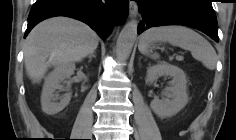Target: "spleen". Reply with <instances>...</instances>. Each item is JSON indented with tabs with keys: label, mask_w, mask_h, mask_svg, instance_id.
<instances>
[{
	"label": "spleen",
	"mask_w": 236,
	"mask_h": 140,
	"mask_svg": "<svg viewBox=\"0 0 236 140\" xmlns=\"http://www.w3.org/2000/svg\"><path fill=\"white\" fill-rule=\"evenodd\" d=\"M167 42L173 46L191 52L192 56L201 61L202 64L213 70L216 67V52L212 45L200 34L184 26H162L147 30L139 42V51L150 55L152 58H159L158 54H150L149 47L153 43Z\"/></svg>",
	"instance_id": "spleen-1"
}]
</instances>
